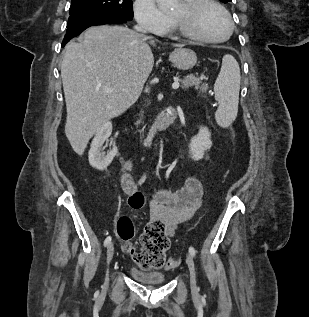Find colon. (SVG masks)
<instances>
[{
  "label": "colon",
  "mask_w": 309,
  "mask_h": 317,
  "mask_svg": "<svg viewBox=\"0 0 309 317\" xmlns=\"http://www.w3.org/2000/svg\"><path fill=\"white\" fill-rule=\"evenodd\" d=\"M206 88L204 85L202 90L206 91ZM144 203L145 198L141 192H134L128 198V205L134 210L141 209ZM116 234L123 242L132 259L142 269H160L173 267L177 264L176 259H166V251L169 249L170 241L164 224L158 220H151L146 224L137 247L132 245L135 228L128 217L118 219Z\"/></svg>",
  "instance_id": "colon-1"
}]
</instances>
